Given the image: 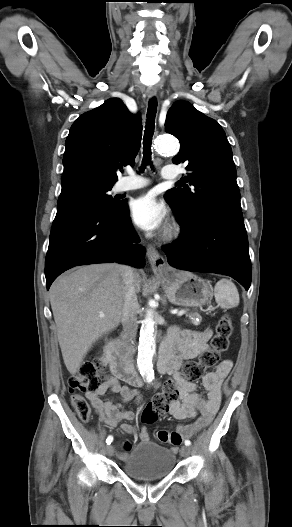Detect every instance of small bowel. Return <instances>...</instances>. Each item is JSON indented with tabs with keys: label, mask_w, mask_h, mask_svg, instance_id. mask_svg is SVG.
Wrapping results in <instances>:
<instances>
[{
	"label": "small bowel",
	"mask_w": 292,
	"mask_h": 527,
	"mask_svg": "<svg viewBox=\"0 0 292 527\" xmlns=\"http://www.w3.org/2000/svg\"><path fill=\"white\" fill-rule=\"evenodd\" d=\"M211 331H191L180 330L178 328L170 329L164 342L170 351V362L167 373L171 375L165 383V386H172L175 392V398L169 402L168 412L177 420L194 418L198 413L201 417L193 424L176 426V431H160L157 434L159 441L168 443L176 448L182 441L183 437L192 435L196 430L206 426L211 422L216 414L221 402V386L223 379L229 374L232 363L230 360L222 361L217 368L207 373L202 379L203 388L207 392L206 399L197 392V386L194 383L187 382L180 374L179 369L182 362L193 359L208 348V340ZM123 379L113 374L112 377L103 382L100 388L95 392H88L87 399L93 408L99 414L100 420L109 428L120 427L124 433L134 434L138 429L121 421H130L135 418V413L131 410H123L122 405L113 398L102 396L108 391L119 394L123 402L140 400V396L135 389L122 385ZM139 437L142 442L149 441V435L145 427L139 431ZM130 448L126 443L125 450Z\"/></svg>",
	"instance_id": "small-bowel-1"
}]
</instances>
